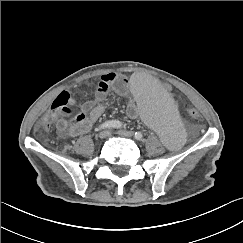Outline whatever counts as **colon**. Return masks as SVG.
I'll return each instance as SVG.
<instances>
[{
	"label": "colon",
	"mask_w": 243,
	"mask_h": 243,
	"mask_svg": "<svg viewBox=\"0 0 243 243\" xmlns=\"http://www.w3.org/2000/svg\"><path fill=\"white\" fill-rule=\"evenodd\" d=\"M72 104L73 100L68 92L64 91L58 94L43 118L42 127L48 130L59 115L71 113ZM181 110L186 113L195 123H200L203 120V114L189 102H184L181 105Z\"/></svg>",
	"instance_id": "colon-1"
}]
</instances>
